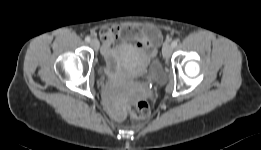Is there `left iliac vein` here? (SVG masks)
Instances as JSON below:
<instances>
[{
  "label": "left iliac vein",
  "instance_id": "left-iliac-vein-1",
  "mask_svg": "<svg viewBox=\"0 0 261 150\" xmlns=\"http://www.w3.org/2000/svg\"><path fill=\"white\" fill-rule=\"evenodd\" d=\"M172 46L170 43L166 42L164 45H163V48H162V54H163V57L167 60L170 58L171 56V53H172Z\"/></svg>",
  "mask_w": 261,
  "mask_h": 150
}]
</instances>
